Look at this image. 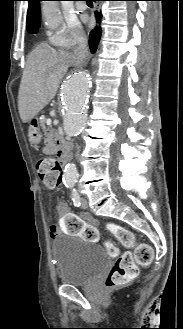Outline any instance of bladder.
<instances>
[{
  "label": "bladder",
  "mask_w": 183,
  "mask_h": 329,
  "mask_svg": "<svg viewBox=\"0 0 183 329\" xmlns=\"http://www.w3.org/2000/svg\"><path fill=\"white\" fill-rule=\"evenodd\" d=\"M60 282L87 286L109 268L110 257L91 240H80L74 234H59L52 242Z\"/></svg>",
  "instance_id": "1"
}]
</instances>
